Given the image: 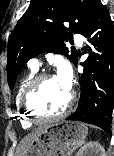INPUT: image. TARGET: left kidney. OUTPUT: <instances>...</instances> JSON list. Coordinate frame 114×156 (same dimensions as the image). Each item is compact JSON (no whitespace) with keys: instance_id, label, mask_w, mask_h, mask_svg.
Returning a JSON list of instances; mask_svg holds the SVG:
<instances>
[{"instance_id":"1","label":"left kidney","mask_w":114,"mask_h":156,"mask_svg":"<svg viewBox=\"0 0 114 156\" xmlns=\"http://www.w3.org/2000/svg\"><path fill=\"white\" fill-rule=\"evenodd\" d=\"M75 156H106L104 147L97 141L82 146Z\"/></svg>"}]
</instances>
